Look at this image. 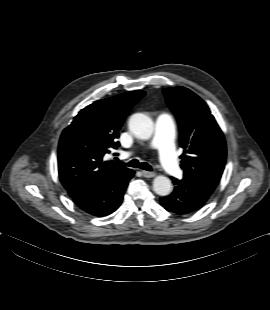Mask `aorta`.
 Here are the masks:
<instances>
[{"label": "aorta", "instance_id": "aorta-1", "mask_svg": "<svg viewBox=\"0 0 270 310\" xmlns=\"http://www.w3.org/2000/svg\"><path fill=\"white\" fill-rule=\"evenodd\" d=\"M130 131L139 139H149L154 130L153 121L143 113H135L129 119ZM153 190L160 196H167L171 193L172 184L169 178L159 175L153 180Z\"/></svg>", "mask_w": 270, "mask_h": 310}]
</instances>
